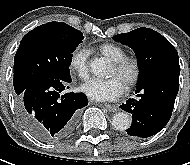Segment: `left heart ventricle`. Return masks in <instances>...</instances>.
<instances>
[{
  "label": "left heart ventricle",
  "instance_id": "1",
  "mask_svg": "<svg viewBox=\"0 0 190 165\" xmlns=\"http://www.w3.org/2000/svg\"><path fill=\"white\" fill-rule=\"evenodd\" d=\"M109 77H117L122 81L123 84H125L126 82V75L116 71V69L113 66L111 67V70L109 72Z\"/></svg>",
  "mask_w": 190,
  "mask_h": 165
}]
</instances>
